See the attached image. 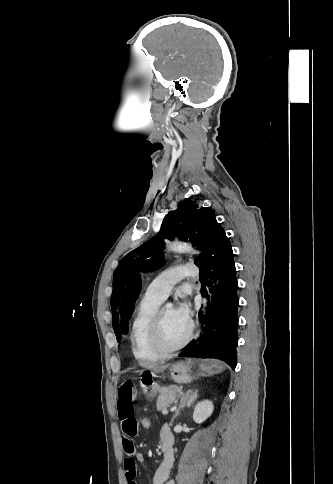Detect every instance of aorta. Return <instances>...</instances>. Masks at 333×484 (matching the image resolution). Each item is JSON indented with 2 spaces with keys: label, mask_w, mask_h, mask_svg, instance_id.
Wrapping results in <instances>:
<instances>
[{
  "label": "aorta",
  "mask_w": 333,
  "mask_h": 484,
  "mask_svg": "<svg viewBox=\"0 0 333 484\" xmlns=\"http://www.w3.org/2000/svg\"><path fill=\"white\" fill-rule=\"evenodd\" d=\"M170 250L176 251V252H182V251H188V252H194V249L191 246H188L183 243H177L175 242L172 246L169 247ZM167 306H170L168 303Z\"/></svg>",
  "instance_id": "aorta-1"
}]
</instances>
